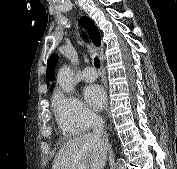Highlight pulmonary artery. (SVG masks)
<instances>
[{
	"instance_id": "e3ab8cb5",
	"label": "pulmonary artery",
	"mask_w": 177,
	"mask_h": 169,
	"mask_svg": "<svg viewBox=\"0 0 177 169\" xmlns=\"http://www.w3.org/2000/svg\"><path fill=\"white\" fill-rule=\"evenodd\" d=\"M82 78L86 82H93L98 78V74L93 67L88 66L84 68L82 72Z\"/></svg>"
}]
</instances>
